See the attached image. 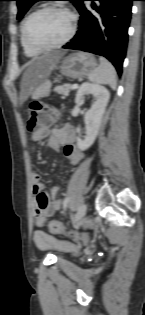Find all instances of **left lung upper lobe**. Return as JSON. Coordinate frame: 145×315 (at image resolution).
<instances>
[{"label": "left lung upper lobe", "mask_w": 145, "mask_h": 315, "mask_svg": "<svg viewBox=\"0 0 145 315\" xmlns=\"http://www.w3.org/2000/svg\"><path fill=\"white\" fill-rule=\"evenodd\" d=\"M15 1H17V6H18L17 19H21L33 3L37 1H41V0H15ZM67 1L73 2L75 6H77L79 2V0H67Z\"/></svg>", "instance_id": "obj_1"}]
</instances>
